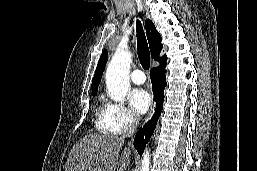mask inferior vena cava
<instances>
[{
    "label": "inferior vena cava",
    "mask_w": 257,
    "mask_h": 171,
    "mask_svg": "<svg viewBox=\"0 0 257 171\" xmlns=\"http://www.w3.org/2000/svg\"><path fill=\"white\" fill-rule=\"evenodd\" d=\"M138 125V118L135 115L131 116V127L129 129V131L127 132V136H132L135 133V130L137 128Z\"/></svg>",
    "instance_id": "1"
}]
</instances>
